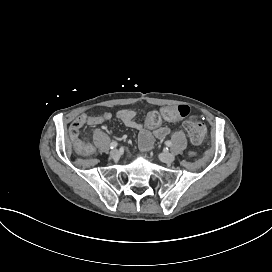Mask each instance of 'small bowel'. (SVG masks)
Returning a JSON list of instances; mask_svg holds the SVG:
<instances>
[{
    "mask_svg": "<svg viewBox=\"0 0 272 272\" xmlns=\"http://www.w3.org/2000/svg\"><path fill=\"white\" fill-rule=\"evenodd\" d=\"M171 109L172 107L163 108L161 110V115L165 121L175 123L178 121L179 117L172 113ZM116 116L125 126L139 132V145L143 150L150 148L153 136L161 140L166 138L171 132V129L168 126H159L157 128H155L156 126H144L141 122L136 120L137 114L134 110L122 109L117 112ZM111 117L112 114L110 112H103L97 115L80 114L75 118V121H79L83 123V125L96 126L103 124L111 119ZM153 128L155 129L151 131ZM71 139L75 144L80 142L78 138Z\"/></svg>",
    "mask_w": 272,
    "mask_h": 272,
    "instance_id": "small-bowel-1",
    "label": "small bowel"
}]
</instances>
